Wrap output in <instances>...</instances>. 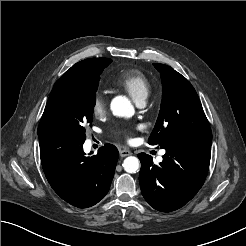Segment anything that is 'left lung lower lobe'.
Here are the masks:
<instances>
[{"label":"left lung lower lobe","instance_id":"1","mask_svg":"<svg viewBox=\"0 0 246 246\" xmlns=\"http://www.w3.org/2000/svg\"><path fill=\"white\" fill-rule=\"evenodd\" d=\"M159 165L138 154L139 183L145 200L156 210L171 212L184 206L202 187L209 169L211 141H176L164 146Z\"/></svg>","mask_w":246,"mask_h":246}]
</instances>
